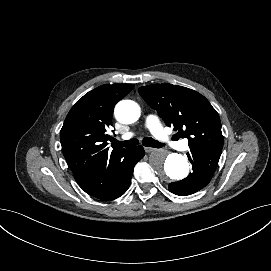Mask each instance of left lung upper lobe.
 <instances>
[{
  "instance_id": "left-lung-upper-lobe-1",
  "label": "left lung upper lobe",
  "mask_w": 271,
  "mask_h": 271,
  "mask_svg": "<svg viewBox=\"0 0 271 271\" xmlns=\"http://www.w3.org/2000/svg\"><path fill=\"white\" fill-rule=\"evenodd\" d=\"M139 94L157 110L179 137H187L190 150L207 148L220 155L223 148L221 121L209 101L198 92L168 83L139 88Z\"/></svg>"
}]
</instances>
